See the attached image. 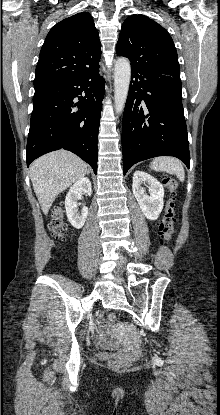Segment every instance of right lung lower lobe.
I'll list each match as a JSON object with an SVG mask.
<instances>
[{
	"instance_id": "obj_1",
	"label": "right lung lower lobe",
	"mask_w": 220,
	"mask_h": 415,
	"mask_svg": "<svg viewBox=\"0 0 220 415\" xmlns=\"http://www.w3.org/2000/svg\"><path fill=\"white\" fill-rule=\"evenodd\" d=\"M98 71L62 83L57 92L33 101L27 166L41 155L63 148L97 173L98 128L105 91V80Z\"/></svg>"
}]
</instances>
